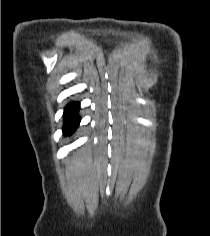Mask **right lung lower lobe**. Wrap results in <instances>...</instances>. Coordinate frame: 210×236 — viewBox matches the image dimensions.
Segmentation results:
<instances>
[{"instance_id":"98d812e1","label":"right lung lower lobe","mask_w":210,"mask_h":236,"mask_svg":"<svg viewBox=\"0 0 210 236\" xmlns=\"http://www.w3.org/2000/svg\"><path fill=\"white\" fill-rule=\"evenodd\" d=\"M79 103L71 102L68 104L64 111V126L63 132L66 135L72 134L78 127L80 119L78 118Z\"/></svg>"}]
</instances>
